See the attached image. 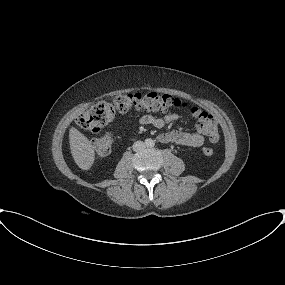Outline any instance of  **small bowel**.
Masks as SVG:
<instances>
[{"label": "small bowel", "instance_id": "c3829d8e", "mask_svg": "<svg viewBox=\"0 0 285 285\" xmlns=\"http://www.w3.org/2000/svg\"><path fill=\"white\" fill-rule=\"evenodd\" d=\"M176 113H168L163 116L143 115L139 118V123L142 125H151L156 128H162L178 119ZM162 143H176L190 147H200L205 142L204 134L200 131L184 132L173 130L163 133L158 137Z\"/></svg>", "mask_w": 285, "mask_h": 285}]
</instances>
